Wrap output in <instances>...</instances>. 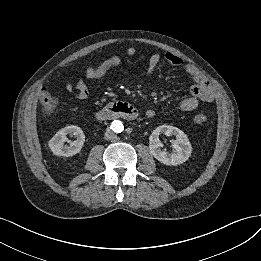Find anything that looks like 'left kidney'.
Wrapping results in <instances>:
<instances>
[{
  "label": "left kidney",
  "instance_id": "5707ae66",
  "mask_svg": "<svg viewBox=\"0 0 261 261\" xmlns=\"http://www.w3.org/2000/svg\"><path fill=\"white\" fill-rule=\"evenodd\" d=\"M161 133L167 136H176V140L172 144V151L161 149L163 144L158 138ZM149 149L158 161L165 165L173 166L188 160L192 152V147L187 135L179 128L165 124L153 130L149 138Z\"/></svg>",
  "mask_w": 261,
  "mask_h": 261
}]
</instances>
